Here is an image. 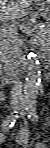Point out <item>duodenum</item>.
I'll list each match as a JSON object with an SVG mask.
<instances>
[{
    "label": "duodenum",
    "instance_id": "duodenum-1",
    "mask_svg": "<svg viewBox=\"0 0 50 148\" xmlns=\"http://www.w3.org/2000/svg\"><path fill=\"white\" fill-rule=\"evenodd\" d=\"M42 59H43L44 61H46V60H48V56H47V55H44V56L42 57ZM16 82H17L16 77H14V76H12V75L6 74V75H4V77H3V83H4V84H11V83H16Z\"/></svg>",
    "mask_w": 50,
    "mask_h": 148
}]
</instances>
